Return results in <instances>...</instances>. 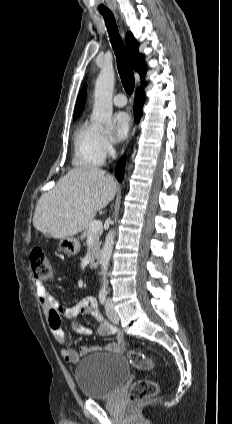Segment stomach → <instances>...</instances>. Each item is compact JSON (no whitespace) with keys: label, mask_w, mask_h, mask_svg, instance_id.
Wrapping results in <instances>:
<instances>
[{"label":"stomach","mask_w":232,"mask_h":424,"mask_svg":"<svg viewBox=\"0 0 232 424\" xmlns=\"http://www.w3.org/2000/svg\"><path fill=\"white\" fill-rule=\"evenodd\" d=\"M59 250L68 256H74L80 251L79 240L75 237H66L60 240Z\"/></svg>","instance_id":"1"}]
</instances>
